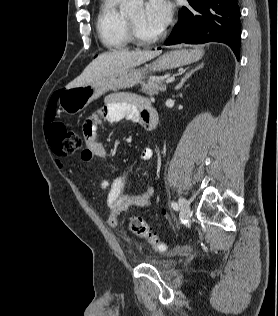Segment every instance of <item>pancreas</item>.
Listing matches in <instances>:
<instances>
[{
    "label": "pancreas",
    "mask_w": 278,
    "mask_h": 316,
    "mask_svg": "<svg viewBox=\"0 0 278 316\" xmlns=\"http://www.w3.org/2000/svg\"><path fill=\"white\" fill-rule=\"evenodd\" d=\"M164 78H149L147 83H142L141 92L149 96L157 95L159 92L166 90V85H163Z\"/></svg>",
    "instance_id": "cf45deb5"
}]
</instances>
